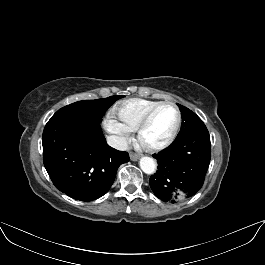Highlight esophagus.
I'll use <instances>...</instances> for the list:
<instances>
[{"label":"esophagus","mask_w":265,"mask_h":265,"mask_svg":"<svg viewBox=\"0 0 265 265\" xmlns=\"http://www.w3.org/2000/svg\"><path fill=\"white\" fill-rule=\"evenodd\" d=\"M139 157H140V155H138V154H135V153H130V159L132 160V161H137L138 159H139Z\"/></svg>","instance_id":"obj_1"}]
</instances>
